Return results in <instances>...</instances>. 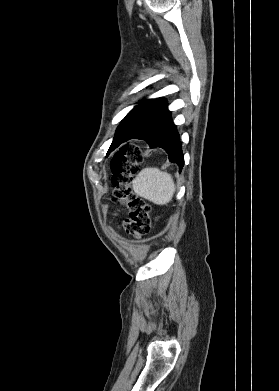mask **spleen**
Instances as JSON below:
<instances>
[{
	"label": "spleen",
	"mask_w": 279,
	"mask_h": 391,
	"mask_svg": "<svg viewBox=\"0 0 279 391\" xmlns=\"http://www.w3.org/2000/svg\"><path fill=\"white\" fill-rule=\"evenodd\" d=\"M132 184L137 195L157 205L169 203L175 192L172 176L155 167L142 169Z\"/></svg>",
	"instance_id": "obj_1"
}]
</instances>
